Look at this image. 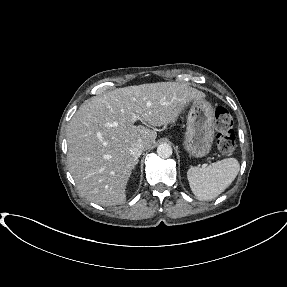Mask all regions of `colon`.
I'll use <instances>...</instances> for the list:
<instances>
[{
    "label": "colon",
    "mask_w": 287,
    "mask_h": 287,
    "mask_svg": "<svg viewBox=\"0 0 287 287\" xmlns=\"http://www.w3.org/2000/svg\"><path fill=\"white\" fill-rule=\"evenodd\" d=\"M217 128L216 143L223 154H231L236 147V136L233 130V117L224 107H218L215 111Z\"/></svg>",
    "instance_id": "colon-1"
}]
</instances>
